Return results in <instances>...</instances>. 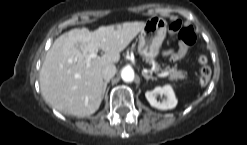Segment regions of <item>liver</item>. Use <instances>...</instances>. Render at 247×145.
<instances>
[{
	"label": "liver",
	"mask_w": 247,
	"mask_h": 145,
	"mask_svg": "<svg viewBox=\"0 0 247 145\" xmlns=\"http://www.w3.org/2000/svg\"><path fill=\"white\" fill-rule=\"evenodd\" d=\"M145 22L101 26L93 32L72 29L59 36L46 54L39 81L45 101L56 110L77 117L95 113L103 98L102 69L120 60V52L144 28ZM104 54L89 64L87 56Z\"/></svg>",
	"instance_id": "6515ba94"
}]
</instances>
